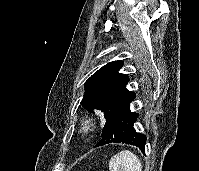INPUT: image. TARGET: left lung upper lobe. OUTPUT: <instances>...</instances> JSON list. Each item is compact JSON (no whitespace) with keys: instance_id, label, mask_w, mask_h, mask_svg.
Returning a JSON list of instances; mask_svg holds the SVG:
<instances>
[{"instance_id":"5c2ea615","label":"left lung upper lobe","mask_w":199,"mask_h":171,"mask_svg":"<svg viewBox=\"0 0 199 171\" xmlns=\"http://www.w3.org/2000/svg\"><path fill=\"white\" fill-rule=\"evenodd\" d=\"M122 61H112L101 67L85 82L81 105L88 111L101 110L107 119L133 92L126 89L129 77L118 71Z\"/></svg>"}]
</instances>
